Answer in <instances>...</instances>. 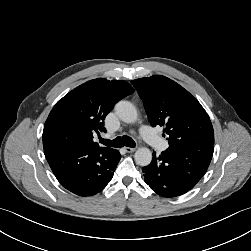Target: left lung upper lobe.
Listing matches in <instances>:
<instances>
[{
  "instance_id": "5c2ea615",
  "label": "left lung upper lobe",
  "mask_w": 251,
  "mask_h": 251,
  "mask_svg": "<svg viewBox=\"0 0 251 251\" xmlns=\"http://www.w3.org/2000/svg\"><path fill=\"white\" fill-rule=\"evenodd\" d=\"M131 83L143 100L151 125L164 127L168 149L213 155V127L195 97L165 76L154 75Z\"/></svg>"
}]
</instances>
